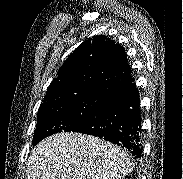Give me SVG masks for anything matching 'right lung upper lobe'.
Listing matches in <instances>:
<instances>
[{
    "instance_id": "cb5924a9",
    "label": "right lung upper lobe",
    "mask_w": 183,
    "mask_h": 179,
    "mask_svg": "<svg viewBox=\"0 0 183 179\" xmlns=\"http://www.w3.org/2000/svg\"><path fill=\"white\" fill-rule=\"evenodd\" d=\"M124 48L104 35L85 40L60 67L41 106L104 93L131 76Z\"/></svg>"
}]
</instances>
